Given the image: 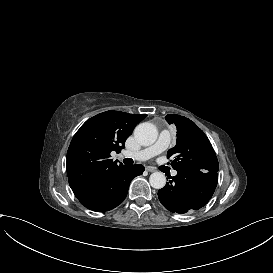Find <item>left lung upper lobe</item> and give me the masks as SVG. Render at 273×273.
<instances>
[{"label":"left lung upper lobe","mask_w":273,"mask_h":273,"mask_svg":"<svg viewBox=\"0 0 273 273\" xmlns=\"http://www.w3.org/2000/svg\"><path fill=\"white\" fill-rule=\"evenodd\" d=\"M165 119L177 128V144L168 151V157L174 156L171 163L173 169L217 172L218 160L205 133L184 116L168 114Z\"/></svg>","instance_id":"1"}]
</instances>
